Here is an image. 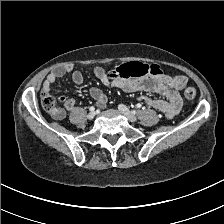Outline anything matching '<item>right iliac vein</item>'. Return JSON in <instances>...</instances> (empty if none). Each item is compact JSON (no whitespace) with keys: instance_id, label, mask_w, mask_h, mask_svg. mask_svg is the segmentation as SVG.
I'll return each mask as SVG.
<instances>
[{"instance_id":"obj_1","label":"right iliac vein","mask_w":224,"mask_h":224,"mask_svg":"<svg viewBox=\"0 0 224 224\" xmlns=\"http://www.w3.org/2000/svg\"><path fill=\"white\" fill-rule=\"evenodd\" d=\"M94 117H95V112H90V113L87 115V118H88L89 120H92Z\"/></svg>"}]
</instances>
